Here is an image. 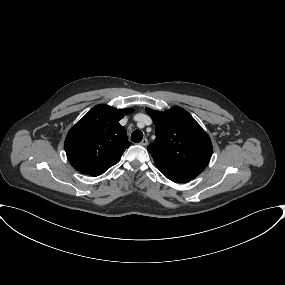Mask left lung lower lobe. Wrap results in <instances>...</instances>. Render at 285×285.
I'll use <instances>...</instances> for the list:
<instances>
[{
	"label": "left lung lower lobe",
	"instance_id": "obj_1",
	"mask_svg": "<svg viewBox=\"0 0 285 285\" xmlns=\"http://www.w3.org/2000/svg\"><path fill=\"white\" fill-rule=\"evenodd\" d=\"M164 176H166L168 179H170L171 181L173 182H188L190 181L191 179H187V178H182V177H179V176H172V175H167V174H164Z\"/></svg>",
	"mask_w": 285,
	"mask_h": 285
}]
</instances>
